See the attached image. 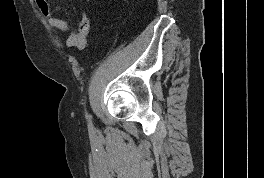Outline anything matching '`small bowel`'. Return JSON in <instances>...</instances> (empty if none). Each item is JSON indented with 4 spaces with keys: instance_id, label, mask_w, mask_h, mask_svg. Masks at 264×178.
I'll use <instances>...</instances> for the list:
<instances>
[{
    "instance_id": "1",
    "label": "small bowel",
    "mask_w": 264,
    "mask_h": 178,
    "mask_svg": "<svg viewBox=\"0 0 264 178\" xmlns=\"http://www.w3.org/2000/svg\"><path fill=\"white\" fill-rule=\"evenodd\" d=\"M35 3L39 11L41 12V14L46 18L48 23L53 28L58 29L60 31H64V32L69 31L70 29L69 24L65 20L57 17L53 13L51 6L47 0H35Z\"/></svg>"
}]
</instances>
